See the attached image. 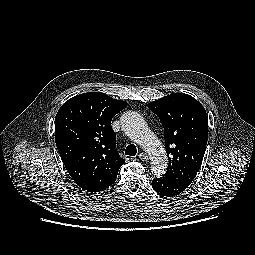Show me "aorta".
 Listing matches in <instances>:
<instances>
[{"label": "aorta", "mask_w": 255, "mask_h": 255, "mask_svg": "<svg viewBox=\"0 0 255 255\" xmlns=\"http://www.w3.org/2000/svg\"><path fill=\"white\" fill-rule=\"evenodd\" d=\"M120 121L123 132L149 154L152 174L156 177L162 176L168 165L166 151L144 118L135 111H126Z\"/></svg>", "instance_id": "1"}]
</instances>
